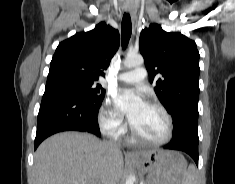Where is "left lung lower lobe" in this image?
<instances>
[{"instance_id":"obj_1","label":"left lung lower lobe","mask_w":235,"mask_h":184,"mask_svg":"<svg viewBox=\"0 0 235 184\" xmlns=\"http://www.w3.org/2000/svg\"><path fill=\"white\" fill-rule=\"evenodd\" d=\"M198 142V135L189 131H183L180 134L173 135L171 142L164 146V148L183 151L189 154L198 166Z\"/></svg>"}]
</instances>
